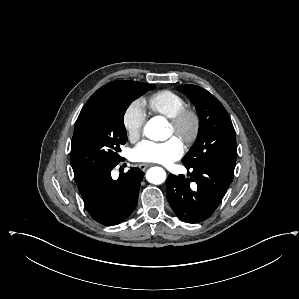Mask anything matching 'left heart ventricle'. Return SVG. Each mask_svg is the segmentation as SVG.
<instances>
[{
    "mask_svg": "<svg viewBox=\"0 0 299 299\" xmlns=\"http://www.w3.org/2000/svg\"><path fill=\"white\" fill-rule=\"evenodd\" d=\"M174 134V131L172 129V127L170 126V135H173Z\"/></svg>",
    "mask_w": 299,
    "mask_h": 299,
    "instance_id": "obj_1",
    "label": "left heart ventricle"
}]
</instances>
